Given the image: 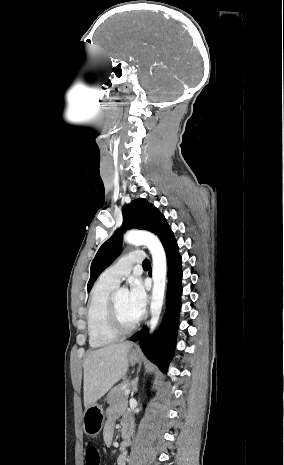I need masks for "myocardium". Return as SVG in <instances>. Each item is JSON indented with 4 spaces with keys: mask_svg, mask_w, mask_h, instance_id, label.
<instances>
[{
    "mask_svg": "<svg viewBox=\"0 0 284 465\" xmlns=\"http://www.w3.org/2000/svg\"><path fill=\"white\" fill-rule=\"evenodd\" d=\"M142 320V316L138 318V320L135 322L134 325H132L129 328H123L120 324V321H122L119 310L115 301V297H110L109 299V307H108V321L106 322L108 330L117 338H123L130 336L133 334L138 326L140 325V322Z\"/></svg>",
    "mask_w": 284,
    "mask_h": 465,
    "instance_id": "1",
    "label": "myocardium"
}]
</instances>
